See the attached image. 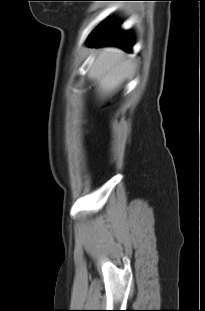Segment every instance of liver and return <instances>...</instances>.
I'll return each instance as SVG.
<instances>
[{
	"label": "liver",
	"mask_w": 205,
	"mask_h": 311,
	"mask_svg": "<svg viewBox=\"0 0 205 311\" xmlns=\"http://www.w3.org/2000/svg\"><path fill=\"white\" fill-rule=\"evenodd\" d=\"M132 70V62L124 61L122 51L106 48L95 59L89 76L99 80L100 91L107 95L117 89Z\"/></svg>",
	"instance_id": "liver-1"
}]
</instances>
